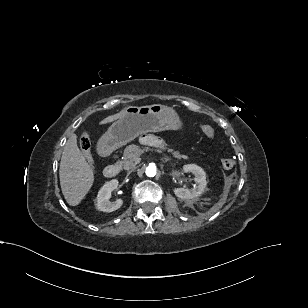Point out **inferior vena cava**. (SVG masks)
<instances>
[{"mask_svg": "<svg viewBox=\"0 0 308 308\" xmlns=\"http://www.w3.org/2000/svg\"><path fill=\"white\" fill-rule=\"evenodd\" d=\"M128 173H129V174H134V169L129 168V169H128Z\"/></svg>", "mask_w": 308, "mask_h": 308, "instance_id": "obj_1", "label": "inferior vena cava"}]
</instances>
